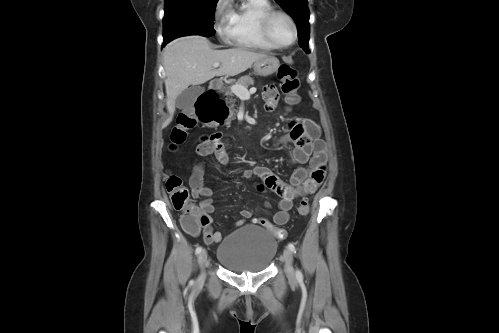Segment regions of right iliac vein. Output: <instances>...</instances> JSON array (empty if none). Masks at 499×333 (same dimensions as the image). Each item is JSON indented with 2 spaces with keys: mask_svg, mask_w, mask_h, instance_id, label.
Returning a JSON list of instances; mask_svg holds the SVG:
<instances>
[{
  "mask_svg": "<svg viewBox=\"0 0 499 333\" xmlns=\"http://www.w3.org/2000/svg\"><path fill=\"white\" fill-rule=\"evenodd\" d=\"M207 256H208L207 251L205 249L202 250L198 256V262L202 270V277L204 276V269L207 262Z\"/></svg>",
  "mask_w": 499,
  "mask_h": 333,
  "instance_id": "right-iliac-vein-1",
  "label": "right iliac vein"
}]
</instances>
